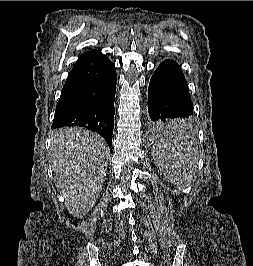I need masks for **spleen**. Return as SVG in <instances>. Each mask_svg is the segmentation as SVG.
Here are the masks:
<instances>
[{"label":"spleen","instance_id":"3e777b00","mask_svg":"<svg viewBox=\"0 0 253 266\" xmlns=\"http://www.w3.org/2000/svg\"><path fill=\"white\" fill-rule=\"evenodd\" d=\"M188 123H157L156 138L164 141L153 142V155L162 165L165 164L170 180L180 182L186 174L193 173L192 165H185L190 147L185 139Z\"/></svg>","mask_w":253,"mask_h":266}]
</instances>
